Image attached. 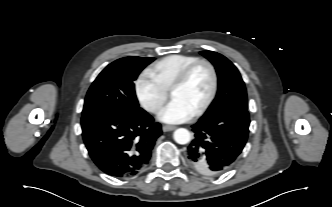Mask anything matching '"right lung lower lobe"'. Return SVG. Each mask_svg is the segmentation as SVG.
I'll return each instance as SVG.
<instances>
[{"instance_id": "98d812e1", "label": "right lung lower lobe", "mask_w": 332, "mask_h": 207, "mask_svg": "<svg viewBox=\"0 0 332 207\" xmlns=\"http://www.w3.org/2000/svg\"><path fill=\"white\" fill-rule=\"evenodd\" d=\"M82 136L94 163L106 174L125 178L149 162L161 125L143 109L132 113L101 111L83 116Z\"/></svg>"}]
</instances>
